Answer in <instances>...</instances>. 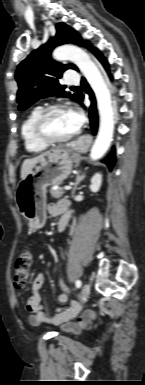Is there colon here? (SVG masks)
<instances>
[{"label": "colon", "instance_id": "obj_1", "mask_svg": "<svg viewBox=\"0 0 145 385\" xmlns=\"http://www.w3.org/2000/svg\"><path fill=\"white\" fill-rule=\"evenodd\" d=\"M32 264V254L30 251H23L15 260L14 264V284L18 288H23L27 284L30 276Z\"/></svg>", "mask_w": 145, "mask_h": 385}]
</instances>
